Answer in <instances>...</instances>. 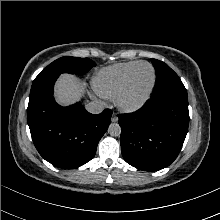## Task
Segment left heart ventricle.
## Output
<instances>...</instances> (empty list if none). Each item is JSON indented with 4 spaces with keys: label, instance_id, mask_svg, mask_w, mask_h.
I'll return each mask as SVG.
<instances>
[{
    "label": "left heart ventricle",
    "instance_id": "left-heart-ventricle-1",
    "mask_svg": "<svg viewBox=\"0 0 220 220\" xmlns=\"http://www.w3.org/2000/svg\"><path fill=\"white\" fill-rule=\"evenodd\" d=\"M152 79L149 66L142 65L134 73L126 99L128 102L139 100L147 91Z\"/></svg>",
    "mask_w": 220,
    "mask_h": 220
}]
</instances>
